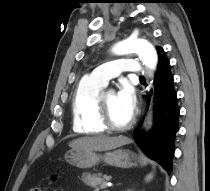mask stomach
<instances>
[{"mask_svg": "<svg viewBox=\"0 0 210 191\" xmlns=\"http://www.w3.org/2000/svg\"><path fill=\"white\" fill-rule=\"evenodd\" d=\"M65 159L68 163L82 169L91 168L100 161L118 168H132L145 164V161L136 154L122 149L106 152L103 155L90 150L72 149L65 155Z\"/></svg>", "mask_w": 210, "mask_h": 191, "instance_id": "obj_1", "label": "stomach"}]
</instances>
